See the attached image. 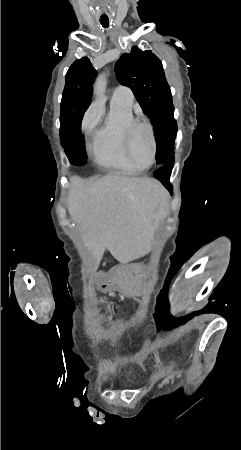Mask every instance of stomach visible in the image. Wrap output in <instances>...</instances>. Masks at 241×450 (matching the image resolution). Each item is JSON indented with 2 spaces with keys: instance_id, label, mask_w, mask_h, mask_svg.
<instances>
[{
  "instance_id": "obj_1",
  "label": "stomach",
  "mask_w": 241,
  "mask_h": 450,
  "mask_svg": "<svg viewBox=\"0 0 241 450\" xmlns=\"http://www.w3.org/2000/svg\"><path fill=\"white\" fill-rule=\"evenodd\" d=\"M142 265H120L111 274V283L118 290H133L146 285V274Z\"/></svg>"
}]
</instances>
